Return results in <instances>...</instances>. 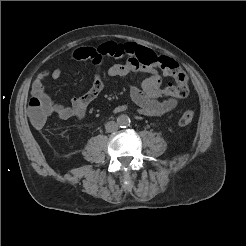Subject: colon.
<instances>
[{
  "instance_id": "5ec220e1",
  "label": "colon",
  "mask_w": 246,
  "mask_h": 246,
  "mask_svg": "<svg viewBox=\"0 0 246 246\" xmlns=\"http://www.w3.org/2000/svg\"><path fill=\"white\" fill-rule=\"evenodd\" d=\"M133 58L138 64L160 69L165 75L174 79V84L170 83L164 87L165 96L184 98L188 95L187 75L174 59L165 55H158L141 46L135 49ZM28 115L34 126L42 127L50 116L49 103L38 96L32 97L28 103ZM193 118L194 111L187 109L180 115L178 123L180 126H187L193 121Z\"/></svg>"
}]
</instances>
